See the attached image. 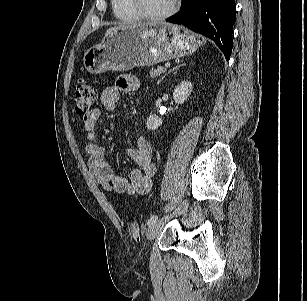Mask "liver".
<instances>
[{
  "instance_id": "1",
  "label": "liver",
  "mask_w": 307,
  "mask_h": 301,
  "mask_svg": "<svg viewBox=\"0 0 307 301\" xmlns=\"http://www.w3.org/2000/svg\"><path fill=\"white\" fill-rule=\"evenodd\" d=\"M140 25H141V24L135 25V26H140ZM123 27H125V26H123ZM123 27H114V28H110V29H108V30L106 31V34L110 33L111 31H113V30H115V29H119V28H123Z\"/></svg>"
}]
</instances>
